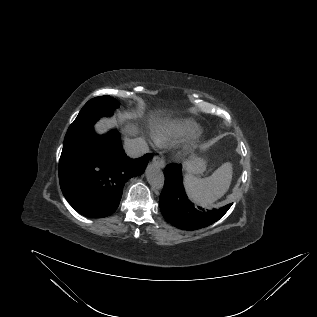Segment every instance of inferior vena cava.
Segmentation results:
<instances>
[{"label": "inferior vena cava", "instance_id": "obj_1", "mask_svg": "<svg viewBox=\"0 0 317 317\" xmlns=\"http://www.w3.org/2000/svg\"><path fill=\"white\" fill-rule=\"evenodd\" d=\"M124 150L131 158H139L148 153L149 148L143 138L126 139L124 142Z\"/></svg>", "mask_w": 317, "mask_h": 317}]
</instances>
